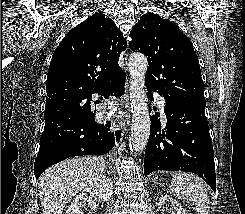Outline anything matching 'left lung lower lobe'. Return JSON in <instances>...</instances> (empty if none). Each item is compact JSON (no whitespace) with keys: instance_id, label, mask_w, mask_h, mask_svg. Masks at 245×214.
Here are the masks:
<instances>
[{"instance_id":"obj_1","label":"left lung lower lobe","mask_w":245,"mask_h":214,"mask_svg":"<svg viewBox=\"0 0 245 214\" xmlns=\"http://www.w3.org/2000/svg\"><path fill=\"white\" fill-rule=\"evenodd\" d=\"M148 90L153 101L152 90ZM165 101V129H161L159 114L150 118V135L144 159L145 176L158 170L189 171L203 178L215 191L214 154L205 116L206 103Z\"/></svg>"}]
</instances>
